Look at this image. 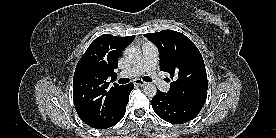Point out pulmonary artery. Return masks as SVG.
Masks as SVG:
<instances>
[{
  "mask_svg": "<svg viewBox=\"0 0 276 138\" xmlns=\"http://www.w3.org/2000/svg\"><path fill=\"white\" fill-rule=\"evenodd\" d=\"M158 64V50L152 43L146 42L142 46L141 60L134 66L119 73V77H137L144 73L151 76L156 85L162 90L167 92L170 89V84L161 79L156 71Z\"/></svg>",
  "mask_w": 276,
  "mask_h": 138,
  "instance_id": "obj_1",
  "label": "pulmonary artery"
}]
</instances>
